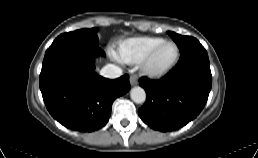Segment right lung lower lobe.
<instances>
[{
  "label": "right lung lower lobe",
  "mask_w": 258,
  "mask_h": 158,
  "mask_svg": "<svg viewBox=\"0 0 258 158\" xmlns=\"http://www.w3.org/2000/svg\"><path fill=\"white\" fill-rule=\"evenodd\" d=\"M97 45L63 43L46 51L40 90L49 113L63 126L92 132L109 120L113 101L130 89L129 76L109 80L94 72Z\"/></svg>",
  "instance_id": "98d812e1"
}]
</instances>
